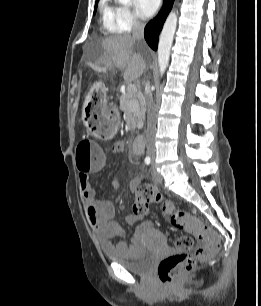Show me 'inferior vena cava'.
<instances>
[{"mask_svg":"<svg viewBox=\"0 0 261 306\" xmlns=\"http://www.w3.org/2000/svg\"><path fill=\"white\" fill-rule=\"evenodd\" d=\"M132 37L137 40L144 38V23L136 21L133 30ZM149 84V82L147 83ZM156 112L157 107L152 97L151 91L147 95V131H146V143H147V154L150 156L155 155V144L154 136L156 131Z\"/></svg>","mask_w":261,"mask_h":306,"instance_id":"obj_1","label":"inferior vena cava"}]
</instances>
